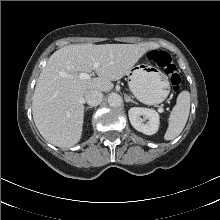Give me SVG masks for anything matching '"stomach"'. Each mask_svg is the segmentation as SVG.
Segmentation results:
<instances>
[{
	"mask_svg": "<svg viewBox=\"0 0 220 220\" xmlns=\"http://www.w3.org/2000/svg\"><path fill=\"white\" fill-rule=\"evenodd\" d=\"M130 73L128 85L139 101L155 105L168 97L170 93L168 77L156 67L137 65Z\"/></svg>",
	"mask_w": 220,
	"mask_h": 220,
	"instance_id": "stomach-1",
	"label": "stomach"
}]
</instances>
